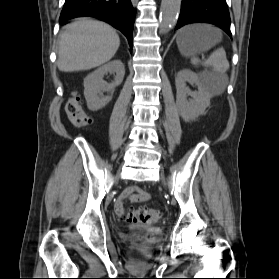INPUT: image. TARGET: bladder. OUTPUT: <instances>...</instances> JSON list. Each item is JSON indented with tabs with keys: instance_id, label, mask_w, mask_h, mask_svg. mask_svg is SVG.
<instances>
[{
	"instance_id": "bladder-1",
	"label": "bladder",
	"mask_w": 279,
	"mask_h": 279,
	"mask_svg": "<svg viewBox=\"0 0 279 279\" xmlns=\"http://www.w3.org/2000/svg\"><path fill=\"white\" fill-rule=\"evenodd\" d=\"M140 229L143 231L151 232V233H160L161 232V230L157 227H142Z\"/></svg>"
}]
</instances>
